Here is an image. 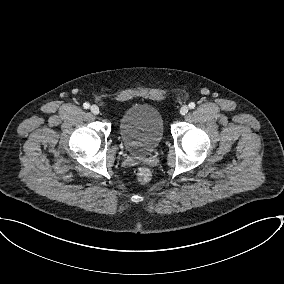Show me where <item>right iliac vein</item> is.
I'll list each match as a JSON object with an SVG mask.
<instances>
[{
	"label": "right iliac vein",
	"mask_w": 284,
	"mask_h": 284,
	"mask_svg": "<svg viewBox=\"0 0 284 284\" xmlns=\"http://www.w3.org/2000/svg\"><path fill=\"white\" fill-rule=\"evenodd\" d=\"M90 110H91V112H92L93 114H95V115H97V114L100 113L99 107L96 106V105H92V106L90 107Z\"/></svg>",
	"instance_id": "obj_1"
}]
</instances>
